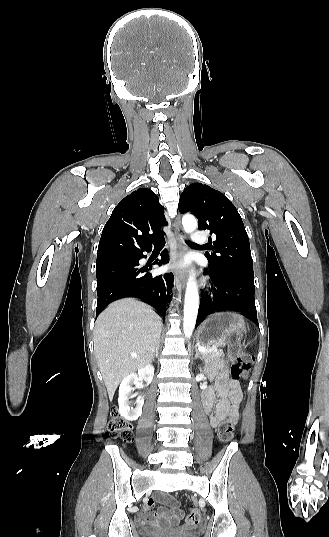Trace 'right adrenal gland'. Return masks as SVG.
<instances>
[{
    "label": "right adrenal gland",
    "mask_w": 329,
    "mask_h": 537,
    "mask_svg": "<svg viewBox=\"0 0 329 537\" xmlns=\"http://www.w3.org/2000/svg\"><path fill=\"white\" fill-rule=\"evenodd\" d=\"M159 344H160V341H158V343H157L156 351H155V355L153 356V359H152V360H154L155 357H158Z\"/></svg>",
    "instance_id": "right-adrenal-gland-1"
}]
</instances>
